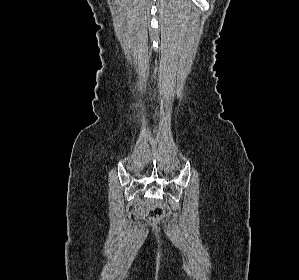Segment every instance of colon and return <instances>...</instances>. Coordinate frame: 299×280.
Here are the masks:
<instances>
[{
    "label": "colon",
    "mask_w": 299,
    "mask_h": 280,
    "mask_svg": "<svg viewBox=\"0 0 299 280\" xmlns=\"http://www.w3.org/2000/svg\"><path fill=\"white\" fill-rule=\"evenodd\" d=\"M168 213V209L163 205H155L148 213L150 222H157Z\"/></svg>",
    "instance_id": "obj_1"
}]
</instances>
